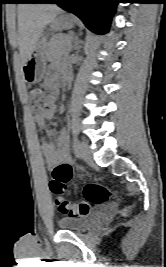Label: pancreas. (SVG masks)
<instances>
[{"mask_svg": "<svg viewBox=\"0 0 166 267\" xmlns=\"http://www.w3.org/2000/svg\"><path fill=\"white\" fill-rule=\"evenodd\" d=\"M69 37L63 34L54 35L49 42L46 58L52 60L69 50Z\"/></svg>", "mask_w": 166, "mask_h": 267, "instance_id": "1", "label": "pancreas"}]
</instances>
